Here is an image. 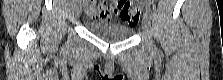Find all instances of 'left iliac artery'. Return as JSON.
I'll list each match as a JSON object with an SVG mask.
<instances>
[{
	"instance_id": "1",
	"label": "left iliac artery",
	"mask_w": 223,
	"mask_h": 80,
	"mask_svg": "<svg viewBox=\"0 0 223 80\" xmlns=\"http://www.w3.org/2000/svg\"><path fill=\"white\" fill-rule=\"evenodd\" d=\"M145 14L148 15L150 19L152 18V12H151L150 8H148V7L146 8V13Z\"/></svg>"
}]
</instances>
